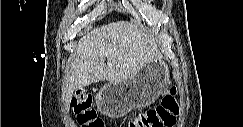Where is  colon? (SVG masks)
<instances>
[{"instance_id":"1","label":"colon","mask_w":243,"mask_h":127,"mask_svg":"<svg viewBox=\"0 0 243 127\" xmlns=\"http://www.w3.org/2000/svg\"><path fill=\"white\" fill-rule=\"evenodd\" d=\"M177 88L173 87L169 95L165 96L161 103L137 114L128 122L129 127H172L176 123L180 113L179 104L176 101ZM71 106L77 122L82 127H103L104 122L97 117L92 106V95L81 93L76 95Z\"/></svg>"}]
</instances>
